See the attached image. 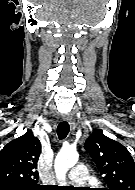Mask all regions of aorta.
I'll return each mask as SVG.
<instances>
[{
	"instance_id": "1",
	"label": "aorta",
	"mask_w": 135,
	"mask_h": 190,
	"mask_svg": "<svg viewBox=\"0 0 135 190\" xmlns=\"http://www.w3.org/2000/svg\"><path fill=\"white\" fill-rule=\"evenodd\" d=\"M79 155L74 149H62L55 159V172L59 180H65L67 171L78 161Z\"/></svg>"
}]
</instances>
